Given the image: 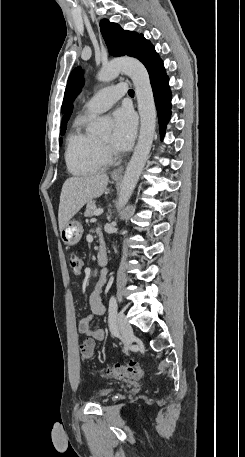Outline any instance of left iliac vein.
<instances>
[{
	"mask_svg": "<svg viewBox=\"0 0 245 457\" xmlns=\"http://www.w3.org/2000/svg\"><path fill=\"white\" fill-rule=\"evenodd\" d=\"M117 327L122 332L124 340L127 344L132 342V328L130 323L128 322L124 313L119 312L116 318Z\"/></svg>",
	"mask_w": 245,
	"mask_h": 457,
	"instance_id": "obj_1",
	"label": "left iliac vein"
}]
</instances>
